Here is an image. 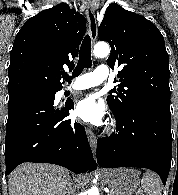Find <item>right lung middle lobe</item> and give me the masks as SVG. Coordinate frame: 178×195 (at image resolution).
<instances>
[{"label": "right lung middle lobe", "instance_id": "dd1d6c3e", "mask_svg": "<svg viewBox=\"0 0 178 195\" xmlns=\"http://www.w3.org/2000/svg\"><path fill=\"white\" fill-rule=\"evenodd\" d=\"M19 95L36 96V97L45 98V97L53 96L54 95V91H50V90H34V91H27V92H24V93L19 94ZM19 95H17V96H19ZM9 98H12V97H9Z\"/></svg>", "mask_w": 178, "mask_h": 195}]
</instances>
